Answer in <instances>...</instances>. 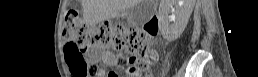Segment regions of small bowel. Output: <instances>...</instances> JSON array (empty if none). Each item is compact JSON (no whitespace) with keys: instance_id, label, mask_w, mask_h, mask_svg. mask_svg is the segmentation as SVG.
I'll return each mask as SVG.
<instances>
[{"instance_id":"small-bowel-1","label":"small bowel","mask_w":258,"mask_h":77,"mask_svg":"<svg viewBox=\"0 0 258 77\" xmlns=\"http://www.w3.org/2000/svg\"><path fill=\"white\" fill-rule=\"evenodd\" d=\"M97 55H98L97 52L90 51L89 52L90 61H93L97 57ZM151 56L153 59H156L157 53L155 51H152ZM120 59H121V56L116 53H109V54L105 55V62L107 65L114 66L120 61ZM99 73L104 74V71H100ZM109 75H110L109 77H116L115 73H110Z\"/></svg>"}]
</instances>
